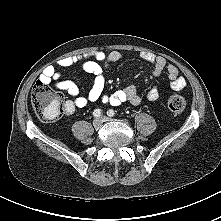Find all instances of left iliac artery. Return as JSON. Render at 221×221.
<instances>
[{
  "instance_id": "1",
  "label": "left iliac artery",
  "mask_w": 221,
  "mask_h": 221,
  "mask_svg": "<svg viewBox=\"0 0 221 221\" xmlns=\"http://www.w3.org/2000/svg\"><path fill=\"white\" fill-rule=\"evenodd\" d=\"M107 115L113 117L115 115V112L112 109H110L107 111Z\"/></svg>"
}]
</instances>
